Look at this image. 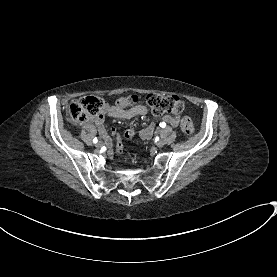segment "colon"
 Instances as JSON below:
<instances>
[{
	"label": "colon",
	"mask_w": 277,
	"mask_h": 277,
	"mask_svg": "<svg viewBox=\"0 0 277 277\" xmlns=\"http://www.w3.org/2000/svg\"><path fill=\"white\" fill-rule=\"evenodd\" d=\"M116 101L121 107H128L132 104L127 97H122ZM146 103L156 116L180 114L184 110L183 102L174 95L151 93L146 97ZM69 104L73 123L77 125L85 123L93 115L102 114L105 109V103L100 94H91L83 99H71ZM180 130L186 135L193 133L194 126L190 118L184 117L181 119ZM115 153L118 156L122 154V145L119 142L116 145Z\"/></svg>",
	"instance_id": "1"
}]
</instances>
